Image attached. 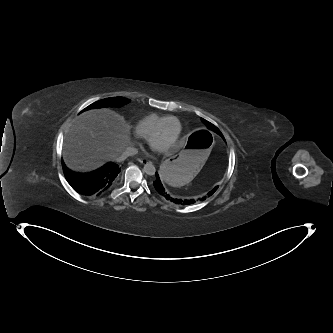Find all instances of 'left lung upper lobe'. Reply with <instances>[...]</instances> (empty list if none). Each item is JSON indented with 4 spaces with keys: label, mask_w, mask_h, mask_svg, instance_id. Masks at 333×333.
I'll list each match as a JSON object with an SVG mask.
<instances>
[{
    "label": "left lung upper lobe",
    "mask_w": 333,
    "mask_h": 333,
    "mask_svg": "<svg viewBox=\"0 0 333 333\" xmlns=\"http://www.w3.org/2000/svg\"><path fill=\"white\" fill-rule=\"evenodd\" d=\"M202 122L212 131L218 133L219 135L221 134L219 129L217 127H215L213 124H211L210 122L206 121L205 119H201Z\"/></svg>",
    "instance_id": "obj_1"
}]
</instances>
